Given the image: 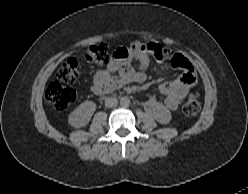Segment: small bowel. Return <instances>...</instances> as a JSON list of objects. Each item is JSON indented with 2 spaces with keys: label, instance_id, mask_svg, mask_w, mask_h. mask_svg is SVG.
<instances>
[{
  "label": "small bowel",
  "instance_id": "c3829d8e",
  "mask_svg": "<svg viewBox=\"0 0 248 194\" xmlns=\"http://www.w3.org/2000/svg\"><path fill=\"white\" fill-rule=\"evenodd\" d=\"M155 43L135 42L130 47H119L112 55L110 63L96 72L89 89L96 95H103L131 82L144 83L151 78L147 53L157 49ZM137 66V69L133 67ZM170 64L182 70L179 77L173 81L160 84L159 91L164 96V105L169 110H176L182 99L196 86L197 78L191 62L182 55L173 54ZM159 73H163L159 71ZM148 107L158 112L159 104L150 100Z\"/></svg>",
  "mask_w": 248,
  "mask_h": 194
}]
</instances>
